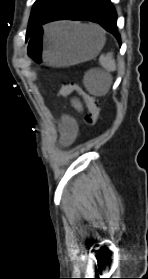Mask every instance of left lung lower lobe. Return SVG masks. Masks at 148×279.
Listing matches in <instances>:
<instances>
[{"label": "left lung lower lobe", "instance_id": "0a47b994", "mask_svg": "<svg viewBox=\"0 0 148 279\" xmlns=\"http://www.w3.org/2000/svg\"><path fill=\"white\" fill-rule=\"evenodd\" d=\"M88 20L96 22L112 33L120 43L117 30V13L110 0H65L49 17L37 27L56 20Z\"/></svg>", "mask_w": 148, "mask_h": 279}]
</instances>
